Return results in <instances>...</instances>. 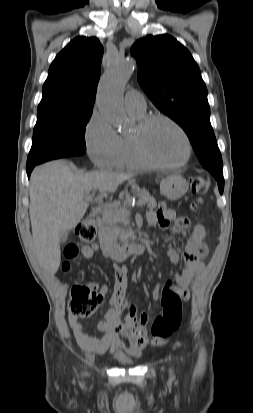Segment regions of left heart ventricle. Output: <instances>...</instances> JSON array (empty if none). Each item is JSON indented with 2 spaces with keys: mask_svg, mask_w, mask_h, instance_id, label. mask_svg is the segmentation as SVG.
I'll list each match as a JSON object with an SVG mask.
<instances>
[{
  "mask_svg": "<svg viewBox=\"0 0 253 413\" xmlns=\"http://www.w3.org/2000/svg\"><path fill=\"white\" fill-rule=\"evenodd\" d=\"M146 145L156 160L167 164L180 162L186 153L185 142L181 134L164 121L156 122L148 130Z\"/></svg>",
  "mask_w": 253,
  "mask_h": 413,
  "instance_id": "obj_1",
  "label": "left heart ventricle"
}]
</instances>
